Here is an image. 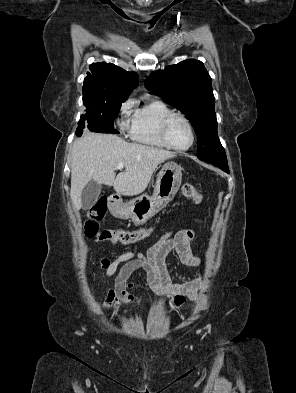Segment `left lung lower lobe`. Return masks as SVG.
<instances>
[{
    "label": "left lung lower lobe",
    "instance_id": "left-lung-lower-lobe-1",
    "mask_svg": "<svg viewBox=\"0 0 296 393\" xmlns=\"http://www.w3.org/2000/svg\"><path fill=\"white\" fill-rule=\"evenodd\" d=\"M215 166H218L220 169H222L223 171L229 173V168H228V164L227 163H220V162H209Z\"/></svg>",
    "mask_w": 296,
    "mask_h": 393
}]
</instances>
